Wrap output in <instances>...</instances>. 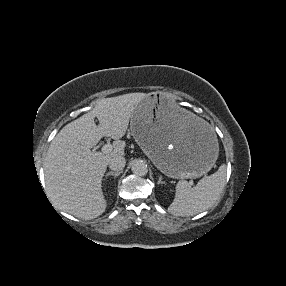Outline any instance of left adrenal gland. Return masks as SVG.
<instances>
[{
  "instance_id": "1",
  "label": "left adrenal gland",
  "mask_w": 286,
  "mask_h": 286,
  "mask_svg": "<svg viewBox=\"0 0 286 286\" xmlns=\"http://www.w3.org/2000/svg\"><path fill=\"white\" fill-rule=\"evenodd\" d=\"M158 184H164V182L162 181V177L161 176H159Z\"/></svg>"
}]
</instances>
